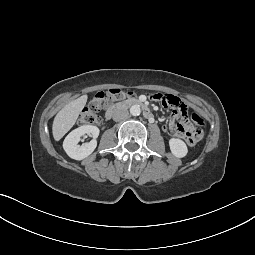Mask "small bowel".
Segmentation results:
<instances>
[{
  "mask_svg": "<svg viewBox=\"0 0 255 255\" xmlns=\"http://www.w3.org/2000/svg\"><path fill=\"white\" fill-rule=\"evenodd\" d=\"M170 96L177 98L178 101H179V105L176 106V107L174 108V110H173V115H174V117L177 118V119H182V118H184V116H185V111H184V110H187V105H186V103H185L184 101H182L180 98H178V97H176V96H174V95H170ZM162 106H163V108H165V109H170V108H172V106H173V101H172V99H170V98H165V99H163V101H162ZM176 124H177V122H175L174 120H172V121L169 123L168 126H165V127H164V129L173 132V129H174V127L176 126Z\"/></svg>",
  "mask_w": 255,
  "mask_h": 255,
  "instance_id": "obj_1",
  "label": "small bowel"
}]
</instances>
